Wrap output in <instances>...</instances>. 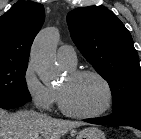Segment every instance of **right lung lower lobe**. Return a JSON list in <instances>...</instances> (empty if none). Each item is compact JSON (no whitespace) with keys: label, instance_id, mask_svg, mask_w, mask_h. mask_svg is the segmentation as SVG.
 <instances>
[{"label":"right lung lower lobe","instance_id":"1","mask_svg":"<svg viewBox=\"0 0 141 139\" xmlns=\"http://www.w3.org/2000/svg\"><path fill=\"white\" fill-rule=\"evenodd\" d=\"M26 102H9V103H0V108L3 109H12L24 105Z\"/></svg>","mask_w":141,"mask_h":139}]
</instances>
